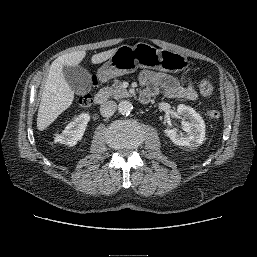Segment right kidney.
I'll list each match as a JSON object with an SVG mask.
<instances>
[{
  "instance_id": "1",
  "label": "right kidney",
  "mask_w": 257,
  "mask_h": 257,
  "mask_svg": "<svg viewBox=\"0 0 257 257\" xmlns=\"http://www.w3.org/2000/svg\"><path fill=\"white\" fill-rule=\"evenodd\" d=\"M90 115L82 113L71 121L61 134L56 135L55 143H60L69 147L75 146L83 137Z\"/></svg>"
}]
</instances>
